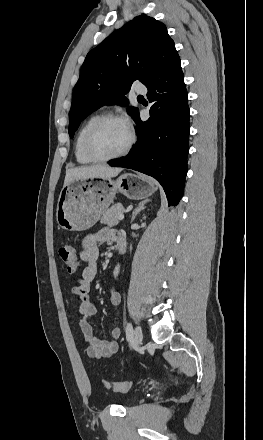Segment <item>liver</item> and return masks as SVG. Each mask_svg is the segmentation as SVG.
<instances>
[{
	"label": "liver",
	"instance_id": "liver-1",
	"mask_svg": "<svg viewBox=\"0 0 263 440\" xmlns=\"http://www.w3.org/2000/svg\"><path fill=\"white\" fill-rule=\"evenodd\" d=\"M121 170V168H114L105 164L71 168L66 171L64 186L74 179H110L116 177Z\"/></svg>",
	"mask_w": 263,
	"mask_h": 440
}]
</instances>
